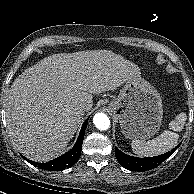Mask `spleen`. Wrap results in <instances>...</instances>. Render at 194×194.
I'll return each mask as SVG.
<instances>
[{"mask_svg":"<svg viewBox=\"0 0 194 194\" xmlns=\"http://www.w3.org/2000/svg\"><path fill=\"white\" fill-rule=\"evenodd\" d=\"M187 120L186 113H179L174 120L169 123V128L175 132L182 131ZM173 131L165 130L157 138L150 141L133 139L131 147L133 152L141 157L156 156L165 153L176 146L179 135Z\"/></svg>","mask_w":194,"mask_h":194,"instance_id":"spleen-1","label":"spleen"}]
</instances>
